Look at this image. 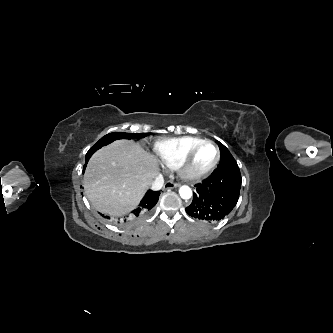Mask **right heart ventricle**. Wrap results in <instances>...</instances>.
<instances>
[{
	"instance_id": "e07e8e85",
	"label": "right heart ventricle",
	"mask_w": 333,
	"mask_h": 333,
	"mask_svg": "<svg viewBox=\"0 0 333 333\" xmlns=\"http://www.w3.org/2000/svg\"><path fill=\"white\" fill-rule=\"evenodd\" d=\"M204 139L193 136L169 138L157 142L154 151L160 162L168 168H177L186 154Z\"/></svg>"
}]
</instances>
